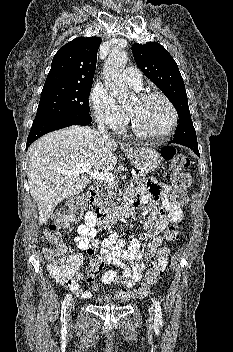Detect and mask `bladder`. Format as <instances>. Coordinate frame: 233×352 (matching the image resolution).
I'll use <instances>...</instances> for the list:
<instances>
[{"mask_svg":"<svg viewBox=\"0 0 233 352\" xmlns=\"http://www.w3.org/2000/svg\"><path fill=\"white\" fill-rule=\"evenodd\" d=\"M96 302L100 305H112L115 304L116 301L114 298L108 293H100L96 297Z\"/></svg>","mask_w":233,"mask_h":352,"instance_id":"1","label":"bladder"}]
</instances>
